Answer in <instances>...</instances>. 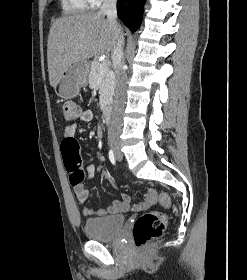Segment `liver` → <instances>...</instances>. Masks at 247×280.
I'll list each match as a JSON object with an SVG mask.
<instances>
[{"label": "liver", "instance_id": "obj_1", "mask_svg": "<svg viewBox=\"0 0 247 280\" xmlns=\"http://www.w3.org/2000/svg\"><path fill=\"white\" fill-rule=\"evenodd\" d=\"M115 43L108 19L99 12L56 19L50 28L47 43L50 85L55 87L72 63L108 54L113 51Z\"/></svg>", "mask_w": 247, "mask_h": 280}]
</instances>
